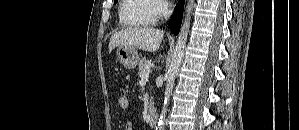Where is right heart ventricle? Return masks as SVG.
<instances>
[{"mask_svg": "<svg viewBox=\"0 0 299 130\" xmlns=\"http://www.w3.org/2000/svg\"><path fill=\"white\" fill-rule=\"evenodd\" d=\"M156 5L152 0H122L119 19L125 27H148L157 22Z\"/></svg>", "mask_w": 299, "mask_h": 130, "instance_id": "1", "label": "right heart ventricle"}]
</instances>
